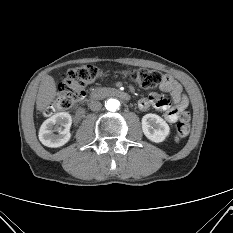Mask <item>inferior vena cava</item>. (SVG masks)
I'll return each mask as SVG.
<instances>
[{
    "mask_svg": "<svg viewBox=\"0 0 233 233\" xmlns=\"http://www.w3.org/2000/svg\"><path fill=\"white\" fill-rule=\"evenodd\" d=\"M89 108H90L92 111H99V110L102 108V104H101L99 101L92 100V101L89 103Z\"/></svg>",
    "mask_w": 233,
    "mask_h": 233,
    "instance_id": "obj_1",
    "label": "inferior vena cava"
}]
</instances>
